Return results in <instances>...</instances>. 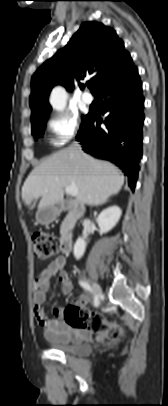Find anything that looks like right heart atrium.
Masks as SVG:
<instances>
[{
    "label": "right heart atrium",
    "mask_w": 168,
    "mask_h": 406,
    "mask_svg": "<svg viewBox=\"0 0 168 406\" xmlns=\"http://www.w3.org/2000/svg\"><path fill=\"white\" fill-rule=\"evenodd\" d=\"M47 129L51 134V142L55 146H62L77 134L79 118L70 111L57 112L47 121Z\"/></svg>",
    "instance_id": "d8ad5b80"
}]
</instances>
